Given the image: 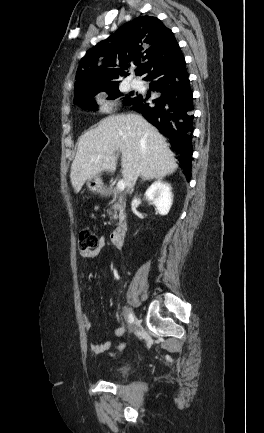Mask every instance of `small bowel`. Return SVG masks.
<instances>
[{
	"label": "small bowel",
	"mask_w": 264,
	"mask_h": 433,
	"mask_svg": "<svg viewBox=\"0 0 264 433\" xmlns=\"http://www.w3.org/2000/svg\"><path fill=\"white\" fill-rule=\"evenodd\" d=\"M106 244H107L106 238L102 237L101 239H99V242H98L97 246L94 249L82 253L83 258L87 262L95 261ZM83 321H84L85 328L87 330H90L92 328V323H91V321H90V319H89V317L87 315L83 316ZM122 333H123V328L119 327V328H117L115 330L114 335L116 337H120L122 335ZM110 347H111V342L110 341H105V342H102V343H91L90 344V349L95 354L104 353V352L108 351L110 349ZM124 347H125V345L121 344L118 347V350L121 351V350L124 349Z\"/></svg>",
	"instance_id": "1"
}]
</instances>
